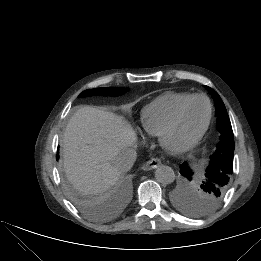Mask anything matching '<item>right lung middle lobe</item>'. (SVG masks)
I'll return each mask as SVG.
<instances>
[{"label":"right lung middle lobe","mask_w":261,"mask_h":261,"mask_svg":"<svg viewBox=\"0 0 261 261\" xmlns=\"http://www.w3.org/2000/svg\"><path fill=\"white\" fill-rule=\"evenodd\" d=\"M129 88H96L92 90H86L80 94V96H119L128 91Z\"/></svg>","instance_id":"right-lung-middle-lobe-1"}]
</instances>
